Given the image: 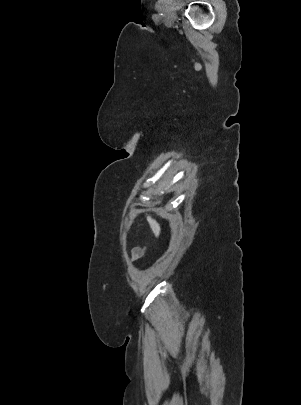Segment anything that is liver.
Here are the masks:
<instances>
[{
  "mask_svg": "<svg viewBox=\"0 0 301 405\" xmlns=\"http://www.w3.org/2000/svg\"><path fill=\"white\" fill-rule=\"evenodd\" d=\"M147 220L149 222V225H150L153 233L156 236H159L161 229H160V225L158 224V222L155 219H153L151 216H147Z\"/></svg>",
  "mask_w": 301,
  "mask_h": 405,
  "instance_id": "liver-1",
  "label": "liver"
}]
</instances>
